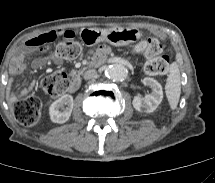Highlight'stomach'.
Listing matches in <instances>:
<instances>
[{"instance_id": "1", "label": "stomach", "mask_w": 215, "mask_h": 183, "mask_svg": "<svg viewBox=\"0 0 215 183\" xmlns=\"http://www.w3.org/2000/svg\"><path fill=\"white\" fill-rule=\"evenodd\" d=\"M97 37L94 44L105 41L114 46H126L138 41L142 33L134 27H111L95 30Z\"/></svg>"}]
</instances>
